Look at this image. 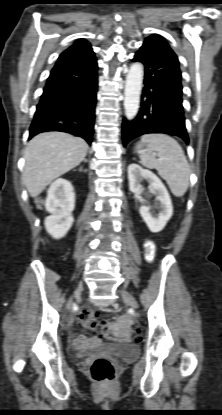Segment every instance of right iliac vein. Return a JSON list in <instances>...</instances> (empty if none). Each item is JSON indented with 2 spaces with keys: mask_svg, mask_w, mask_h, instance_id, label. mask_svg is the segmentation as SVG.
<instances>
[{
  "mask_svg": "<svg viewBox=\"0 0 222 415\" xmlns=\"http://www.w3.org/2000/svg\"><path fill=\"white\" fill-rule=\"evenodd\" d=\"M78 295V293L76 292L75 294H74V296H77ZM71 305H72V298H70L69 299V301H68V303H67V308L69 309L70 307H71Z\"/></svg>",
  "mask_w": 222,
  "mask_h": 415,
  "instance_id": "right-iliac-vein-1",
  "label": "right iliac vein"
}]
</instances>
